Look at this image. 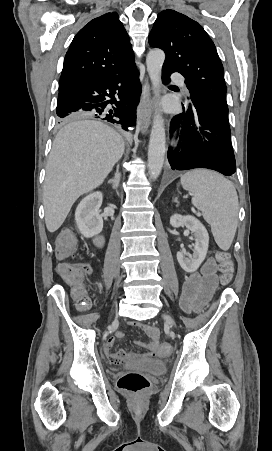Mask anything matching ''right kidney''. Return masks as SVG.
I'll return each mask as SVG.
<instances>
[{
	"mask_svg": "<svg viewBox=\"0 0 272 451\" xmlns=\"http://www.w3.org/2000/svg\"><path fill=\"white\" fill-rule=\"evenodd\" d=\"M103 194L94 192L83 198L75 212V220L81 233L85 237H92L102 231L103 220L99 208L102 206Z\"/></svg>",
	"mask_w": 272,
	"mask_h": 451,
	"instance_id": "right-kidney-1",
	"label": "right kidney"
}]
</instances>
